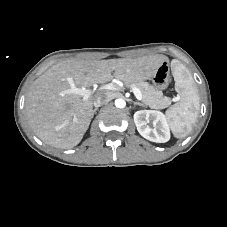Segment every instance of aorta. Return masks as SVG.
<instances>
[{"instance_id": "1", "label": "aorta", "mask_w": 227, "mask_h": 227, "mask_svg": "<svg viewBox=\"0 0 227 227\" xmlns=\"http://www.w3.org/2000/svg\"><path fill=\"white\" fill-rule=\"evenodd\" d=\"M115 106L119 109L125 108L126 106V102L124 99L122 98H118L115 100Z\"/></svg>"}]
</instances>
